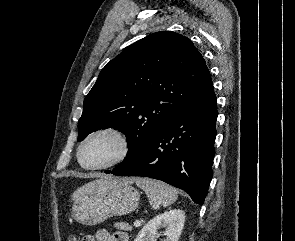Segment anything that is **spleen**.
I'll return each instance as SVG.
<instances>
[{
    "label": "spleen",
    "mask_w": 295,
    "mask_h": 241,
    "mask_svg": "<svg viewBox=\"0 0 295 241\" xmlns=\"http://www.w3.org/2000/svg\"><path fill=\"white\" fill-rule=\"evenodd\" d=\"M135 183L146 193L154 209H159L160 206H169L178 197V192L175 188L161 181L149 178H136Z\"/></svg>",
    "instance_id": "3e777b00"
}]
</instances>
